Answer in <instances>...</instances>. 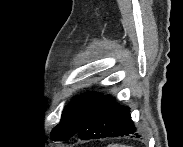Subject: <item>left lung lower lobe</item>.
<instances>
[{
	"label": "left lung lower lobe",
	"mask_w": 183,
	"mask_h": 147,
	"mask_svg": "<svg viewBox=\"0 0 183 147\" xmlns=\"http://www.w3.org/2000/svg\"><path fill=\"white\" fill-rule=\"evenodd\" d=\"M136 132L130 109L103 96L90 111L76 135L83 140L119 137Z\"/></svg>",
	"instance_id": "left-lung-lower-lobe-1"
}]
</instances>
